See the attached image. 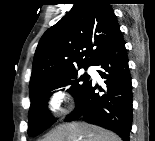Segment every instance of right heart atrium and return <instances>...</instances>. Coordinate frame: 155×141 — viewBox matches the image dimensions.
Here are the masks:
<instances>
[{
	"instance_id": "d8ad5b80",
	"label": "right heart atrium",
	"mask_w": 155,
	"mask_h": 141,
	"mask_svg": "<svg viewBox=\"0 0 155 141\" xmlns=\"http://www.w3.org/2000/svg\"><path fill=\"white\" fill-rule=\"evenodd\" d=\"M69 100L67 94L62 91H54L48 99V109L53 114H61L65 111L66 104Z\"/></svg>"
}]
</instances>
